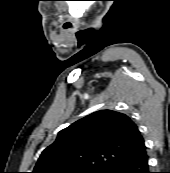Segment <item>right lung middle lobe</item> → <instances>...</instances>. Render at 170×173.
I'll use <instances>...</instances> for the list:
<instances>
[{
    "label": "right lung middle lobe",
    "mask_w": 170,
    "mask_h": 173,
    "mask_svg": "<svg viewBox=\"0 0 170 173\" xmlns=\"http://www.w3.org/2000/svg\"><path fill=\"white\" fill-rule=\"evenodd\" d=\"M104 170L101 169H92V170H82V171H74L73 173H103Z\"/></svg>",
    "instance_id": "right-lung-middle-lobe-1"
}]
</instances>
